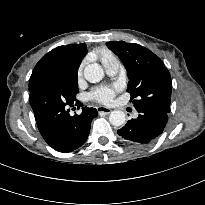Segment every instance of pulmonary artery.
I'll return each mask as SVG.
<instances>
[{
	"label": "pulmonary artery",
	"mask_w": 205,
	"mask_h": 205,
	"mask_svg": "<svg viewBox=\"0 0 205 205\" xmlns=\"http://www.w3.org/2000/svg\"><path fill=\"white\" fill-rule=\"evenodd\" d=\"M119 68H120L119 61H115V62L111 63L110 65H108L107 67H105L107 74L110 76L116 75L119 71ZM135 115H137V114H135Z\"/></svg>",
	"instance_id": "obj_1"
}]
</instances>
